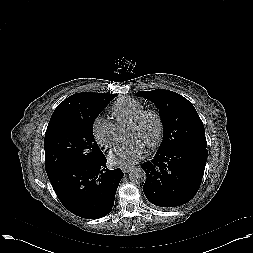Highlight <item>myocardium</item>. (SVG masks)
<instances>
[{"mask_svg":"<svg viewBox=\"0 0 253 253\" xmlns=\"http://www.w3.org/2000/svg\"><path fill=\"white\" fill-rule=\"evenodd\" d=\"M153 116L157 121V134L153 142L148 146L150 150H153L159 146L162 141L163 134H164V123L160 113L154 109H144L135 118L128 123L129 127H137L139 126L142 121L148 117Z\"/></svg>","mask_w":253,"mask_h":253,"instance_id":"f54148a6","label":"myocardium"}]
</instances>
